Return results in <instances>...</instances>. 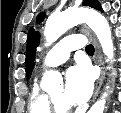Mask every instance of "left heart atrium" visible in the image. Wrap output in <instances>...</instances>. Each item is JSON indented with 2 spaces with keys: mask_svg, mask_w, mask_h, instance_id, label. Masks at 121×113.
Wrapping results in <instances>:
<instances>
[{
  "mask_svg": "<svg viewBox=\"0 0 121 113\" xmlns=\"http://www.w3.org/2000/svg\"><path fill=\"white\" fill-rule=\"evenodd\" d=\"M94 75L89 65L78 63L66 73L64 97L69 104L85 103L93 89Z\"/></svg>",
  "mask_w": 121,
  "mask_h": 113,
  "instance_id": "left-heart-atrium-1",
  "label": "left heart atrium"
}]
</instances>
